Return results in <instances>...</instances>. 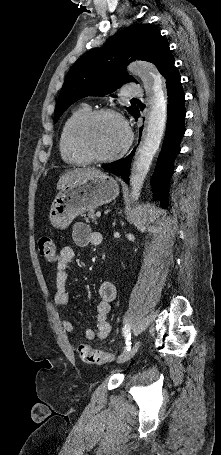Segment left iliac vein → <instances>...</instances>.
<instances>
[{"label":"left iliac vein","mask_w":221,"mask_h":455,"mask_svg":"<svg viewBox=\"0 0 221 455\" xmlns=\"http://www.w3.org/2000/svg\"><path fill=\"white\" fill-rule=\"evenodd\" d=\"M141 346V341L138 340L133 346L132 348H130V350L126 351L123 355H121L118 359H117V362L118 363H123V362H126L128 361L129 359H131L135 354L136 352L138 351V349L140 348Z\"/></svg>","instance_id":"4c4485c4"}]
</instances>
